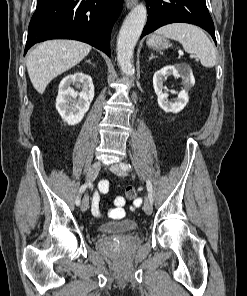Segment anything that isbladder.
I'll use <instances>...</instances> for the list:
<instances>
[{
	"label": "bladder",
	"instance_id": "bladder-1",
	"mask_svg": "<svg viewBox=\"0 0 247 296\" xmlns=\"http://www.w3.org/2000/svg\"><path fill=\"white\" fill-rule=\"evenodd\" d=\"M138 229V224L133 220H121L108 222L99 227V232L105 235H119L134 232Z\"/></svg>",
	"mask_w": 247,
	"mask_h": 296
}]
</instances>
